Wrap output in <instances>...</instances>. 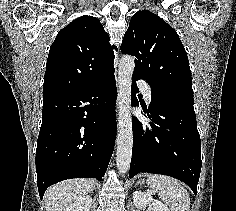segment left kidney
I'll list each match as a JSON object with an SVG mask.
<instances>
[{"mask_svg":"<svg viewBox=\"0 0 236 211\" xmlns=\"http://www.w3.org/2000/svg\"><path fill=\"white\" fill-rule=\"evenodd\" d=\"M133 203L136 208H146L152 206L153 211H169L168 207L159 200H154L148 192H133Z\"/></svg>","mask_w":236,"mask_h":211,"instance_id":"left-kidney-1","label":"left kidney"}]
</instances>
